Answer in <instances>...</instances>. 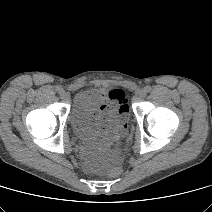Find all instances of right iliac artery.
<instances>
[{"label":"right iliac artery","mask_w":212,"mask_h":212,"mask_svg":"<svg viewBox=\"0 0 212 212\" xmlns=\"http://www.w3.org/2000/svg\"><path fill=\"white\" fill-rule=\"evenodd\" d=\"M61 89H62L61 86H59V85L56 86V91H57V92H60Z\"/></svg>","instance_id":"1"}]
</instances>
